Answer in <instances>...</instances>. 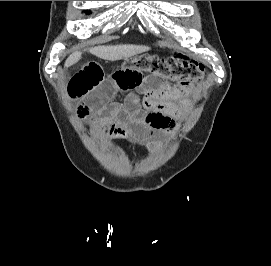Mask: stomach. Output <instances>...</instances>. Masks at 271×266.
<instances>
[{"label": "stomach", "instance_id": "1", "mask_svg": "<svg viewBox=\"0 0 271 266\" xmlns=\"http://www.w3.org/2000/svg\"><path fill=\"white\" fill-rule=\"evenodd\" d=\"M173 56L178 59H190L188 56H185L184 54H181L179 52H173Z\"/></svg>", "mask_w": 271, "mask_h": 266}]
</instances>
